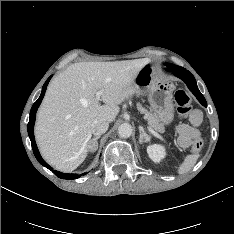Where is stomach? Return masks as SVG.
Masks as SVG:
<instances>
[{"label": "stomach", "instance_id": "obj_1", "mask_svg": "<svg viewBox=\"0 0 234 234\" xmlns=\"http://www.w3.org/2000/svg\"><path fill=\"white\" fill-rule=\"evenodd\" d=\"M133 86L137 95L148 94L153 112L163 125H168L174 118L173 81L159 78L152 63H147L136 75Z\"/></svg>", "mask_w": 234, "mask_h": 234}]
</instances>
